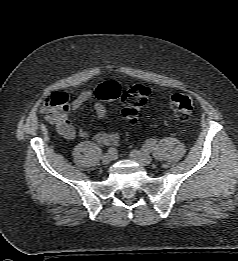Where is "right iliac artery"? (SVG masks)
<instances>
[{
    "label": "right iliac artery",
    "mask_w": 238,
    "mask_h": 261,
    "mask_svg": "<svg viewBox=\"0 0 238 261\" xmlns=\"http://www.w3.org/2000/svg\"><path fill=\"white\" fill-rule=\"evenodd\" d=\"M116 149L115 148H113V147H111V148H109V150H108V153H109V155H114V154H116Z\"/></svg>",
    "instance_id": "right-iliac-artery-1"
}]
</instances>
